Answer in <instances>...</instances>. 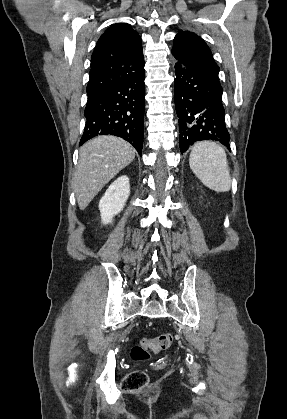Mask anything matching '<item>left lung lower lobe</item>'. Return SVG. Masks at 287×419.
I'll return each instance as SVG.
<instances>
[{
    "label": "left lung lower lobe",
    "mask_w": 287,
    "mask_h": 419,
    "mask_svg": "<svg viewBox=\"0 0 287 419\" xmlns=\"http://www.w3.org/2000/svg\"><path fill=\"white\" fill-rule=\"evenodd\" d=\"M175 73L174 100L181 153L201 140L219 141L229 149L219 68L195 69L175 64Z\"/></svg>",
    "instance_id": "1"
}]
</instances>
